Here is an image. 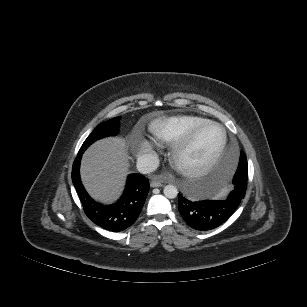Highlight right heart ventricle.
Wrapping results in <instances>:
<instances>
[{
  "mask_svg": "<svg viewBox=\"0 0 307 307\" xmlns=\"http://www.w3.org/2000/svg\"><path fill=\"white\" fill-rule=\"evenodd\" d=\"M209 120L195 115H179L164 118L157 122L152 133L159 143L175 144L195 127Z\"/></svg>",
  "mask_w": 307,
  "mask_h": 307,
  "instance_id": "obj_1",
  "label": "right heart ventricle"
}]
</instances>
